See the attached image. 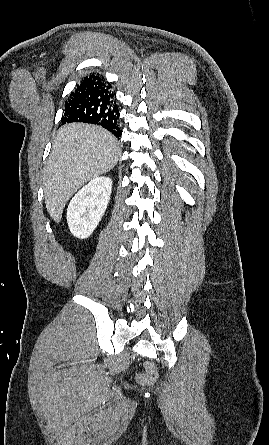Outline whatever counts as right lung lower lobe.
<instances>
[{
  "label": "right lung lower lobe",
  "mask_w": 269,
  "mask_h": 445,
  "mask_svg": "<svg viewBox=\"0 0 269 445\" xmlns=\"http://www.w3.org/2000/svg\"><path fill=\"white\" fill-rule=\"evenodd\" d=\"M119 110L116 94L110 83L98 73L82 78L65 102L62 125L84 122L104 127L118 139L122 132L118 125Z\"/></svg>",
  "instance_id": "obj_1"
}]
</instances>
